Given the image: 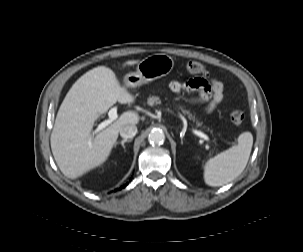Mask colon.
<instances>
[{
    "instance_id": "obj_1",
    "label": "colon",
    "mask_w": 303,
    "mask_h": 252,
    "mask_svg": "<svg viewBox=\"0 0 303 252\" xmlns=\"http://www.w3.org/2000/svg\"><path fill=\"white\" fill-rule=\"evenodd\" d=\"M185 69L188 73L192 75H203L207 72L206 67L197 61H189L185 65ZM245 115L243 112L235 110L230 114V120L232 124L236 127H239L243 124Z\"/></svg>"
}]
</instances>
